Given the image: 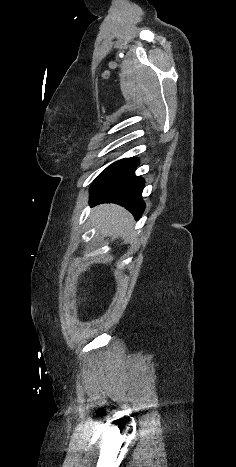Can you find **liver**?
I'll return each instance as SVG.
<instances>
[{"label":"liver","instance_id":"obj_1","mask_svg":"<svg viewBox=\"0 0 236 467\" xmlns=\"http://www.w3.org/2000/svg\"><path fill=\"white\" fill-rule=\"evenodd\" d=\"M92 215L104 236L125 234L131 229L133 223L130 213L114 204L97 206Z\"/></svg>","mask_w":236,"mask_h":467}]
</instances>
